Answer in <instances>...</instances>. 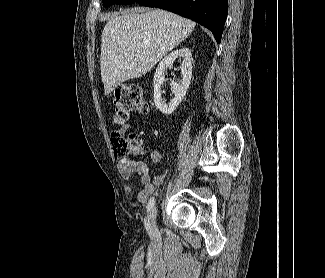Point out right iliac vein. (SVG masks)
I'll use <instances>...</instances> for the list:
<instances>
[{
  "label": "right iliac vein",
  "instance_id": "right-iliac-vein-1",
  "mask_svg": "<svg viewBox=\"0 0 325 278\" xmlns=\"http://www.w3.org/2000/svg\"><path fill=\"white\" fill-rule=\"evenodd\" d=\"M156 213H157L156 208H153V209L150 211V214H149V219H150L151 224H152L153 227H155Z\"/></svg>",
  "mask_w": 325,
  "mask_h": 278
}]
</instances>
